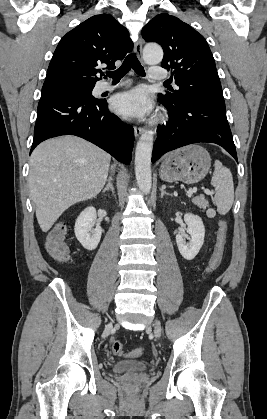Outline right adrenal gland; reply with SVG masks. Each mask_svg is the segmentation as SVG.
<instances>
[{
	"mask_svg": "<svg viewBox=\"0 0 267 419\" xmlns=\"http://www.w3.org/2000/svg\"><path fill=\"white\" fill-rule=\"evenodd\" d=\"M111 190V192L114 194V187H113V178L112 176H109L108 178V184L106 185V187L103 189V193H105L106 191Z\"/></svg>",
	"mask_w": 267,
	"mask_h": 419,
	"instance_id": "right-adrenal-gland-1",
	"label": "right adrenal gland"
}]
</instances>
